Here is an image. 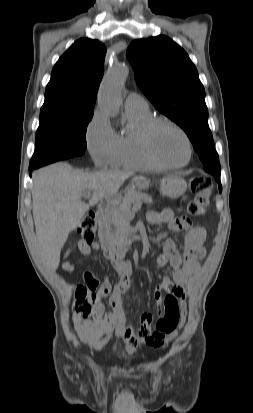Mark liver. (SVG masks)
I'll use <instances>...</instances> for the list:
<instances>
[{
	"mask_svg": "<svg viewBox=\"0 0 253 413\" xmlns=\"http://www.w3.org/2000/svg\"><path fill=\"white\" fill-rule=\"evenodd\" d=\"M129 176L120 171H72L65 163L35 172L32 210L37 250L45 266L52 271L58 268L60 252L69 233L77 228L90 206L114 196ZM86 191H93L88 204L81 200Z\"/></svg>",
	"mask_w": 253,
	"mask_h": 413,
	"instance_id": "1",
	"label": "liver"
}]
</instances>
